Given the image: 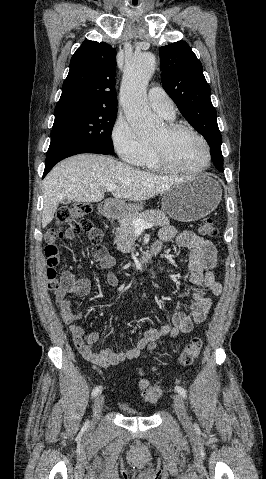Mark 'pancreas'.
Masks as SVG:
<instances>
[{"mask_svg": "<svg viewBox=\"0 0 266 479\" xmlns=\"http://www.w3.org/2000/svg\"><path fill=\"white\" fill-rule=\"evenodd\" d=\"M142 219L144 222L152 223L155 226H166L169 219L163 211L150 210L144 213H127L119 220V227L116 228L114 243L117 250L123 253H130L133 250L135 241V228L133 220Z\"/></svg>", "mask_w": 266, "mask_h": 479, "instance_id": "cf45deb5", "label": "pancreas"}]
</instances>
